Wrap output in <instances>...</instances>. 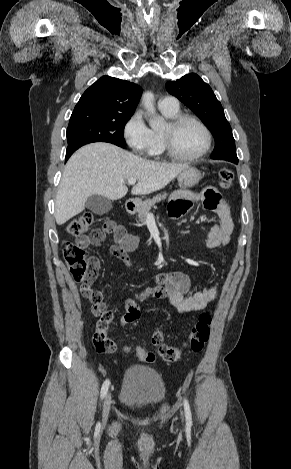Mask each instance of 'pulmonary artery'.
<instances>
[{"instance_id": "e3ab8cb5", "label": "pulmonary artery", "mask_w": 291, "mask_h": 469, "mask_svg": "<svg viewBox=\"0 0 291 469\" xmlns=\"http://www.w3.org/2000/svg\"><path fill=\"white\" fill-rule=\"evenodd\" d=\"M158 106L162 109L177 110L179 109V102L174 96H165L159 100Z\"/></svg>"}]
</instances>
